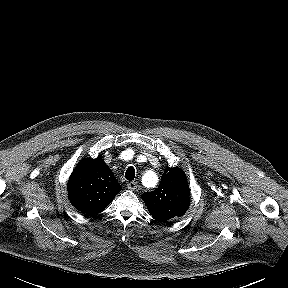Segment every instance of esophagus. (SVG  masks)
Here are the masks:
<instances>
[{
	"label": "esophagus",
	"mask_w": 288,
	"mask_h": 288,
	"mask_svg": "<svg viewBox=\"0 0 288 288\" xmlns=\"http://www.w3.org/2000/svg\"><path fill=\"white\" fill-rule=\"evenodd\" d=\"M128 189L130 190H135L137 188V182L136 181H131L127 184Z\"/></svg>",
	"instance_id": "1"
}]
</instances>
